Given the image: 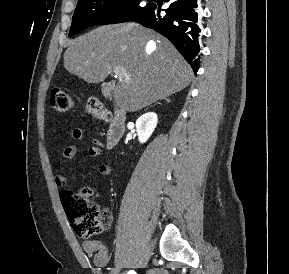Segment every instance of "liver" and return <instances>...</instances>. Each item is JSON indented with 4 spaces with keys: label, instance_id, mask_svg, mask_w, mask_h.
<instances>
[{
    "label": "liver",
    "instance_id": "6515ba94",
    "mask_svg": "<svg viewBox=\"0 0 289 274\" xmlns=\"http://www.w3.org/2000/svg\"><path fill=\"white\" fill-rule=\"evenodd\" d=\"M128 79L113 87L114 99L134 112L186 88L193 72L164 37L135 23L101 26L69 42L65 69L89 83L104 81L114 67Z\"/></svg>",
    "mask_w": 289,
    "mask_h": 274
}]
</instances>
